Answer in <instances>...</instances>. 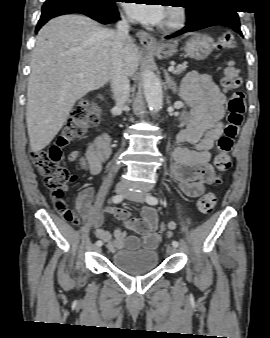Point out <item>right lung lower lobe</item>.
Wrapping results in <instances>:
<instances>
[{"label":"right lung lower lobe","mask_w":270,"mask_h":338,"mask_svg":"<svg viewBox=\"0 0 270 338\" xmlns=\"http://www.w3.org/2000/svg\"><path fill=\"white\" fill-rule=\"evenodd\" d=\"M115 2L116 0L109 5L65 0L45 2L42 7V15L36 27V33L51 18L68 13L84 14L102 24L114 22L119 17Z\"/></svg>","instance_id":"98d812e1"}]
</instances>
